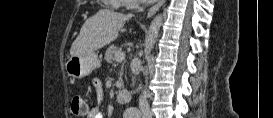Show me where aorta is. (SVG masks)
Segmentation results:
<instances>
[{"mask_svg":"<svg viewBox=\"0 0 273 118\" xmlns=\"http://www.w3.org/2000/svg\"><path fill=\"white\" fill-rule=\"evenodd\" d=\"M163 15H157L153 21L151 22L148 30V37L146 41L145 53L148 55L150 51L153 49L156 39L159 34V30L162 26Z\"/></svg>","mask_w":273,"mask_h":118,"instance_id":"aorta-1","label":"aorta"}]
</instances>
